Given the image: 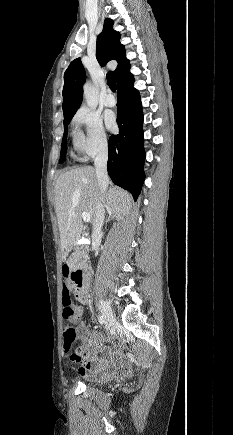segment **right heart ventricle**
Here are the masks:
<instances>
[{"label": "right heart ventricle", "instance_id": "e07e8e85", "mask_svg": "<svg viewBox=\"0 0 233 435\" xmlns=\"http://www.w3.org/2000/svg\"><path fill=\"white\" fill-rule=\"evenodd\" d=\"M79 138H80V135L77 132H75L74 133V141H75L76 144H77Z\"/></svg>", "mask_w": 233, "mask_h": 435}]
</instances>
